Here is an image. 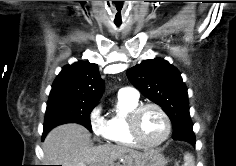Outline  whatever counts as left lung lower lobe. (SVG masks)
<instances>
[{
	"label": "left lung lower lobe",
	"instance_id": "0a47b994",
	"mask_svg": "<svg viewBox=\"0 0 236 166\" xmlns=\"http://www.w3.org/2000/svg\"><path fill=\"white\" fill-rule=\"evenodd\" d=\"M173 134L172 138L175 140H182L191 143L195 146V136L192 128L183 122H172Z\"/></svg>",
	"mask_w": 236,
	"mask_h": 166
}]
</instances>
